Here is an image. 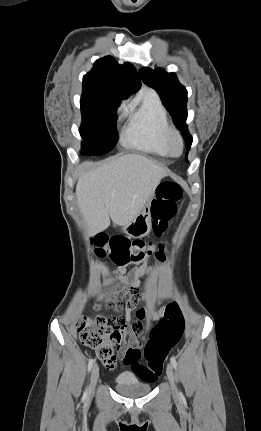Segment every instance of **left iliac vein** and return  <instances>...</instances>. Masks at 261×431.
Returning a JSON list of instances; mask_svg holds the SVG:
<instances>
[{"label":"left iliac vein","mask_w":261,"mask_h":431,"mask_svg":"<svg viewBox=\"0 0 261 431\" xmlns=\"http://www.w3.org/2000/svg\"><path fill=\"white\" fill-rule=\"evenodd\" d=\"M166 373H167V377H168V380H169V383H170V386H171V390H172V392L174 394H176L177 393V389H176V386H175V374H174V370H173V367H172L171 364L167 365Z\"/></svg>","instance_id":"obj_1"}]
</instances>
